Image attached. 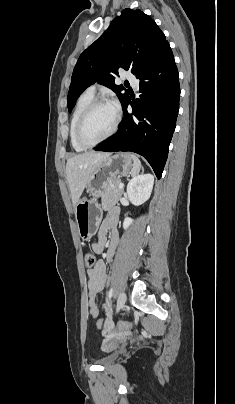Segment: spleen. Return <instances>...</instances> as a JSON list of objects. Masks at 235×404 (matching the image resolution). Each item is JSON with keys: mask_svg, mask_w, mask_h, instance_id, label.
I'll return each instance as SVG.
<instances>
[{"mask_svg": "<svg viewBox=\"0 0 235 404\" xmlns=\"http://www.w3.org/2000/svg\"><path fill=\"white\" fill-rule=\"evenodd\" d=\"M131 157H132L133 163H134V166H133V169L131 171V174H132V176H136L139 173L140 169H141V162H140V160L138 159V157L136 155L131 154Z\"/></svg>", "mask_w": 235, "mask_h": 404, "instance_id": "spleen-1", "label": "spleen"}]
</instances>
